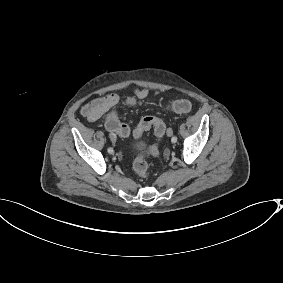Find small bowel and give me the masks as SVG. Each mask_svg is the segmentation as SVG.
<instances>
[{"label":"small bowel","instance_id":"1","mask_svg":"<svg viewBox=\"0 0 283 283\" xmlns=\"http://www.w3.org/2000/svg\"><path fill=\"white\" fill-rule=\"evenodd\" d=\"M134 94L138 99H144L149 95V91L144 88H136ZM121 104L122 99L118 94L109 93L85 104L81 109V114L88 122H95L114 114Z\"/></svg>","mask_w":283,"mask_h":283}]
</instances>
